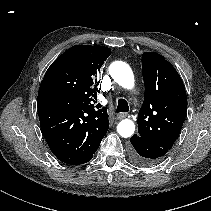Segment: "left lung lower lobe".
<instances>
[{
  "label": "left lung lower lobe",
  "instance_id": "left-lung-lower-lobe-1",
  "mask_svg": "<svg viewBox=\"0 0 211 211\" xmlns=\"http://www.w3.org/2000/svg\"><path fill=\"white\" fill-rule=\"evenodd\" d=\"M130 158L131 161L141 167H150L158 164L167 151L143 139L137 134L130 138Z\"/></svg>",
  "mask_w": 211,
  "mask_h": 211
}]
</instances>
